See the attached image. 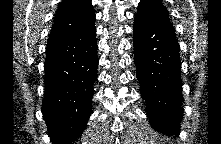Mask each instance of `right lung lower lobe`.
Wrapping results in <instances>:
<instances>
[{
	"mask_svg": "<svg viewBox=\"0 0 221 144\" xmlns=\"http://www.w3.org/2000/svg\"><path fill=\"white\" fill-rule=\"evenodd\" d=\"M95 35L93 23L47 45L42 114L55 144L76 141L91 115L98 67Z\"/></svg>",
	"mask_w": 221,
	"mask_h": 144,
	"instance_id": "1",
	"label": "right lung lower lobe"
}]
</instances>
